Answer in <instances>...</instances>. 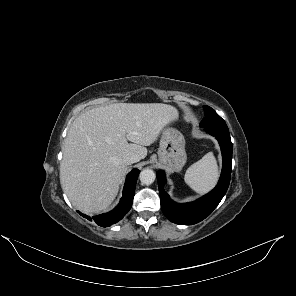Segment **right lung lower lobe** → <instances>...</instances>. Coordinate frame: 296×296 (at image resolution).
Here are the masks:
<instances>
[{
	"label": "right lung lower lobe",
	"mask_w": 296,
	"mask_h": 296,
	"mask_svg": "<svg viewBox=\"0 0 296 296\" xmlns=\"http://www.w3.org/2000/svg\"><path fill=\"white\" fill-rule=\"evenodd\" d=\"M139 172V170L134 169L129 173L128 178L125 182L123 196L120 200V203L114 210L93 217L82 214L81 212H79V214L90 221L94 220L99 226L102 227H108L121 220L132 206V201L135 194L136 181Z\"/></svg>",
	"instance_id": "right-lung-lower-lobe-1"
}]
</instances>
